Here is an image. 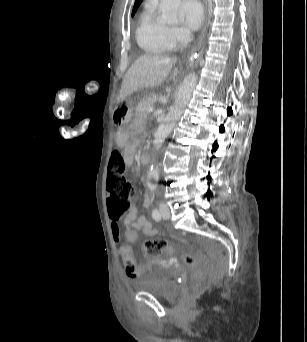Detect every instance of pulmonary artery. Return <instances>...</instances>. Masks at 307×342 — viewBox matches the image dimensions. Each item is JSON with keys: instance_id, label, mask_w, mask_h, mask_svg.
I'll return each instance as SVG.
<instances>
[{"instance_id": "obj_1", "label": "pulmonary artery", "mask_w": 307, "mask_h": 342, "mask_svg": "<svg viewBox=\"0 0 307 342\" xmlns=\"http://www.w3.org/2000/svg\"><path fill=\"white\" fill-rule=\"evenodd\" d=\"M153 14V9L148 8L147 11L145 12V16L149 19V17Z\"/></svg>"}]
</instances>
